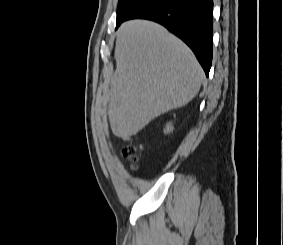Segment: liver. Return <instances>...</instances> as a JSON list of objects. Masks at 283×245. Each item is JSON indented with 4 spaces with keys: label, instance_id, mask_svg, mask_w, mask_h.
I'll list each match as a JSON object with an SVG mask.
<instances>
[{
    "label": "liver",
    "instance_id": "6515ba94",
    "mask_svg": "<svg viewBox=\"0 0 283 245\" xmlns=\"http://www.w3.org/2000/svg\"><path fill=\"white\" fill-rule=\"evenodd\" d=\"M116 70L107 91L114 135H136L154 118L189 103L204 72L192 51L161 25L132 20L116 33Z\"/></svg>",
    "mask_w": 283,
    "mask_h": 245
}]
</instances>
